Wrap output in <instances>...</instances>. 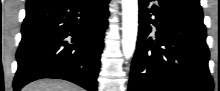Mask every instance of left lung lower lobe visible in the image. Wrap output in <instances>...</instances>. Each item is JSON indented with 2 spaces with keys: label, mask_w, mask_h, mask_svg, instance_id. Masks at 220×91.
I'll return each instance as SVG.
<instances>
[{
  "label": "left lung lower lobe",
  "mask_w": 220,
  "mask_h": 91,
  "mask_svg": "<svg viewBox=\"0 0 220 91\" xmlns=\"http://www.w3.org/2000/svg\"><path fill=\"white\" fill-rule=\"evenodd\" d=\"M152 1L139 0L129 91H213L201 6L188 0Z\"/></svg>",
  "instance_id": "obj_1"
}]
</instances>
